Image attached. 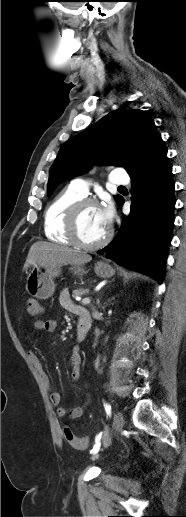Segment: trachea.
Masks as SVG:
<instances>
[{
	"mask_svg": "<svg viewBox=\"0 0 186 517\" xmlns=\"http://www.w3.org/2000/svg\"><path fill=\"white\" fill-rule=\"evenodd\" d=\"M118 188H126V187H124V186H119Z\"/></svg>",
	"mask_w": 186,
	"mask_h": 517,
	"instance_id": "obj_1",
	"label": "trachea"
}]
</instances>
